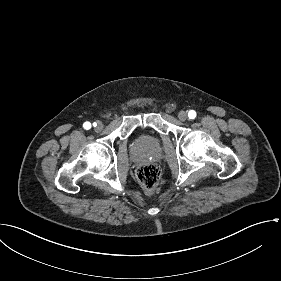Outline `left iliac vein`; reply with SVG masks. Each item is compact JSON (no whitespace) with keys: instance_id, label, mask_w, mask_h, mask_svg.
<instances>
[{"instance_id":"1","label":"left iliac vein","mask_w":281,"mask_h":281,"mask_svg":"<svg viewBox=\"0 0 281 281\" xmlns=\"http://www.w3.org/2000/svg\"><path fill=\"white\" fill-rule=\"evenodd\" d=\"M188 115L185 111H180L178 114V118L181 121H185L187 119Z\"/></svg>"}]
</instances>
